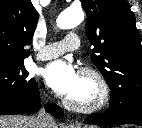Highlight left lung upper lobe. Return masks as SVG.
Segmentation results:
<instances>
[{
  "mask_svg": "<svg viewBox=\"0 0 142 128\" xmlns=\"http://www.w3.org/2000/svg\"><path fill=\"white\" fill-rule=\"evenodd\" d=\"M91 59L111 89L110 108L142 102V46L127 0H81ZM95 53H98L96 55Z\"/></svg>",
  "mask_w": 142,
  "mask_h": 128,
  "instance_id": "left-lung-upper-lobe-1",
  "label": "left lung upper lobe"
}]
</instances>
